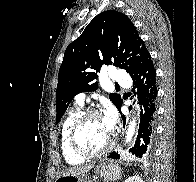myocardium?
<instances>
[{
    "mask_svg": "<svg viewBox=\"0 0 196 182\" xmlns=\"http://www.w3.org/2000/svg\"><path fill=\"white\" fill-rule=\"evenodd\" d=\"M91 117H101V114L97 110L89 109L83 111L77 119L74 121L70 132H69V146L71 150L77 154L78 156L84 159H92L106 155L114 146V138L113 136L110 137L109 142L107 145L99 151L95 152H88L81 147L78 142L79 132L84 125V123Z\"/></svg>",
    "mask_w": 196,
    "mask_h": 182,
    "instance_id": "obj_1",
    "label": "myocardium"
}]
</instances>
